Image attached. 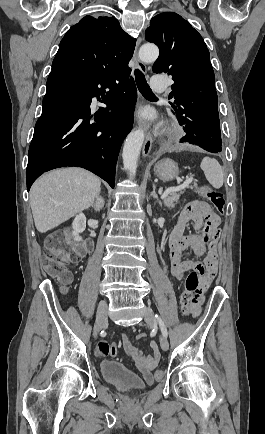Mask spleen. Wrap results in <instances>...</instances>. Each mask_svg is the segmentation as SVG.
Instances as JSON below:
<instances>
[{
    "label": "spleen",
    "mask_w": 265,
    "mask_h": 434,
    "mask_svg": "<svg viewBox=\"0 0 265 434\" xmlns=\"http://www.w3.org/2000/svg\"><path fill=\"white\" fill-rule=\"evenodd\" d=\"M200 168L213 188H221L223 186V170L217 160L203 158Z\"/></svg>",
    "instance_id": "1"
}]
</instances>
